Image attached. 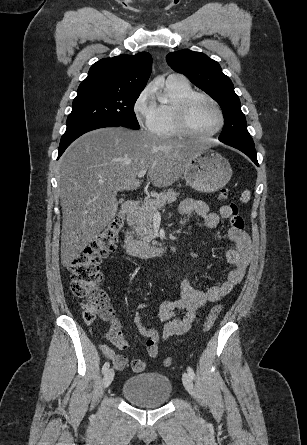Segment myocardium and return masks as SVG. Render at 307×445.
Instances as JSON below:
<instances>
[{
  "instance_id": "myocardium-1",
  "label": "myocardium",
  "mask_w": 307,
  "mask_h": 445,
  "mask_svg": "<svg viewBox=\"0 0 307 445\" xmlns=\"http://www.w3.org/2000/svg\"><path fill=\"white\" fill-rule=\"evenodd\" d=\"M197 100H205L211 104H213L219 111L221 116V123L219 127L210 132H199L194 128L190 121L189 110L194 102ZM171 114L174 118V121L181 131V134L187 135L184 139H204L208 137H213L219 132H221L227 124V115L223 108V106L211 96L200 93V92H192L182 100L176 102L171 107Z\"/></svg>"
}]
</instances>
